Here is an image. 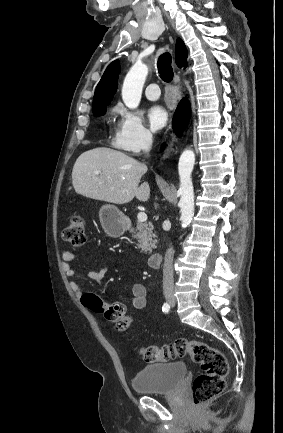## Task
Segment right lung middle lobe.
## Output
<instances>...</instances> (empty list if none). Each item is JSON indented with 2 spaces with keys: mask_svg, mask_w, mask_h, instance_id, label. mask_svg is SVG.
Returning <instances> with one entry per match:
<instances>
[{
  "mask_svg": "<svg viewBox=\"0 0 283 433\" xmlns=\"http://www.w3.org/2000/svg\"><path fill=\"white\" fill-rule=\"evenodd\" d=\"M105 112H106V107H101V108H99V109H97V110H94V111H93V114H94L95 116H101V115H104Z\"/></svg>",
  "mask_w": 283,
  "mask_h": 433,
  "instance_id": "1",
  "label": "right lung middle lobe"
}]
</instances>
